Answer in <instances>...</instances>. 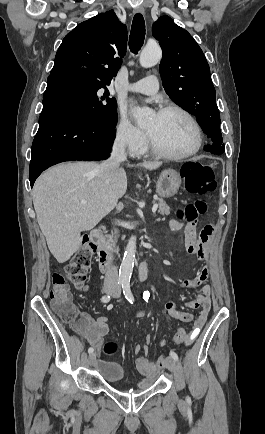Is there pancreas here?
<instances>
[{
    "instance_id": "1",
    "label": "pancreas",
    "mask_w": 265,
    "mask_h": 434,
    "mask_svg": "<svg viewBox=\"0 0 265 434\" xmlns=\"http://www.w3.org/2000/svg\"><path fill=\"white\" fill-rule=\"evenodd\" d=\"M158 212L159 214H162V216H164V214H169L170 212V208L169 206H167L166 202H164L163 198H158ZM108 238V236H107ZM106 246H108L109 250H111V248H114L115 244H114V240H108V242H105Z\"/></svg>"
}]
</instances>
